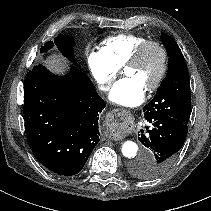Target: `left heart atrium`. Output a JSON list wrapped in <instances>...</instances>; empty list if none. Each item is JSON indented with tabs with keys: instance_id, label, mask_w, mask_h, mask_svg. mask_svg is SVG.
<instances>
[{
	"instance_id": "left-heart-atrium-1",
	"label": "left heart atrium",
	"mask_w": 211,
	"mask_h": 211,
	"mask_svg": "<svg viewBox=\"0 0 211 211\" xmlns=\"http://www.w3.org/2000/svg\"><path fill=\"white\" fill-rule=\"evenodd\" d=\"M146 89L133 77H126L114 84L109 93V99L112 103L133 107L140 104L145 97Z\"/></svg>"
}]
</instances>
